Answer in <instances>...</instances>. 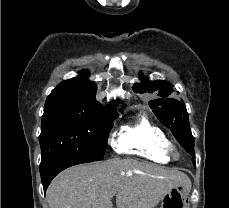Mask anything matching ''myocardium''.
<instances>
[{"label": "myocardium", "instance_id": "obj_1", "mask_svg": "<svg viewBox=\"0 0 229 208\" xmlns=\"http://www.w3.org/2000/svg\"><path fill=\"white\" fill-rule=\"evenodd\" d=\"M167 152L170 153V156L172 158L178 159L181 156L182 149L178 143H176L174 141H170L169 145H168Z\"/></svg>", "mask_w": 229, "mask_h": 208}]
</instances>
